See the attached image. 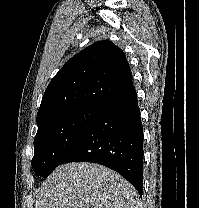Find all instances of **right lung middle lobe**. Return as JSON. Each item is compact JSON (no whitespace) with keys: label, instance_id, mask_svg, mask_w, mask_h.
Masks as SVG:
<instances>
[{"label":"right lung middle lobe","instance_id":"dd1d6c3e","mask_svg":"<svg viewBox=\"0 0 199 208\" xmlns=\"http://www.w3.org/2000/svg\"><path fill=\"white\" fill-rule=\"evenodd\" d=\"M100 106H82L59 112L38 124L32 167L47 177L74 148Z\"/></svg>","mask_w":199,"mask_h":208}]
</instances>
